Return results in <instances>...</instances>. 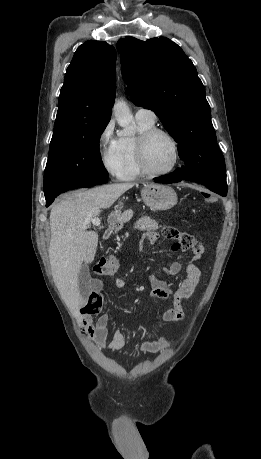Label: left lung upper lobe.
<instances>
[{"label": "left lung upper lobe", "instance_id": "1", "mask_svg": "<svg viewBox=\"0 0 261 459\" xmlns=\"http://www.w3.org/2000/svg\"><path fill=\"white\" fill-rule=\"evenodd\" d=\"M117 49L132 101L154 111L179 144L185 166L178 170L187 177L226 172L205 88L182 49L164 37L147 41L125 37Z\"/></svg>", "mask_w": 261, "mask_h": 459}]
</instances>
